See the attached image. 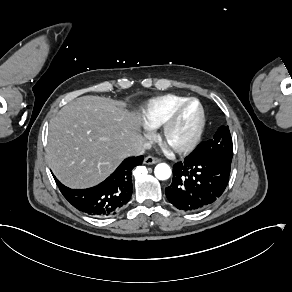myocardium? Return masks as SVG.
I'll list each match as a JSON object with an SVG mask.
<instances>
[{
    "instance_id": "1",
    "label": "myocardium",
    "mask_w": 292,
    "mask_h": 292,
    "mask_svg": "<svg viewBox=\"0 0 292 292\" xmlns=\"http://www.w3.org/2000/svg\"><path fill=\"white\" fill-rule=\"evenodd\" d=\"M192 103H195L198 107V114H197L195 125L190 135L184 142L174 143L170 139V131L173 125L179 119L180 115L183 113V111ZM204 121H205V115H204V109H203L202 104L199 102V100L195 98H187L184 102H182L181 104L173 108V110L170 112L168 117L165 119L161 128V137L164 140V142L169 147L173 148L174 150L178 152H187L191 150L197 144L204 127Z\"/></svg>"
}]
</instances>
